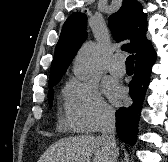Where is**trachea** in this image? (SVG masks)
I'll list each match as a JSON object with an SVG mask.
<instances>
[{"label": "trachea", "mask_w": 168, "mask_h": 162, "mask_svg": "<svg viewBox=\"0 0 168 162\" xmlns=\"http://www.w3.org/2000/svg\"><path fill=\"white\" fill-rule=\"evenodd\" d=\"M126 67H134V55H130L126 59Z\"/></svg>", "instance_id": "obj_1"}]
</instances>
